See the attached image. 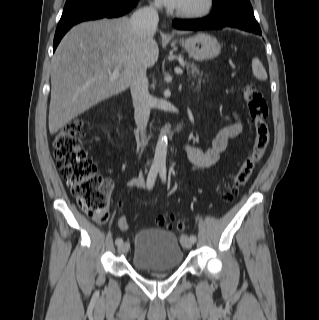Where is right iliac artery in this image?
Masks as SVG:
<instances>
[{"instance_id": "82829eb1", "label": "right iliac artery", "mask_w": 319, "mask_h": 320, "mask_svg": "<svg viewBox=\"0 0 319 320\" xmlns=\"http://www.w3.org/2000/svg\"><path fill=\"white\" fill-rule=\"evenodd\" d=\"M159 171L158 167H151L148 177H147V188L151 189L155 183L156 177H157V173ZM123 243V239L122 238H117L115 240V244L120 246Z\"/></svg>"}]
</instances>
